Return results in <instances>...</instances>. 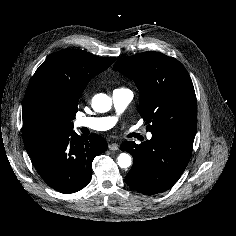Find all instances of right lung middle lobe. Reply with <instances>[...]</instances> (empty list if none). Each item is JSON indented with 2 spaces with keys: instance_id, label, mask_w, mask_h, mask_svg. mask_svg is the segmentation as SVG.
Listing matches in <instances>:
<instances>
[{
  "instance_id": "obj_1",
  "label": "right lung middle lobe",
  "mask_w": 236,
  "mask_h": 236,
  "mask_svg": "<svg viewBox=\"0 0 236 236\" xmlns=\"http://www.w3.org/2000/svg\"><path fill=\"white\" fill-rule=\"evenodd\" d=\"M75 117H68L55 110L53 107L42 102L35 113V123L46 135H57L73 128L72 120Z\"/></svg>"
}]
</instances>
